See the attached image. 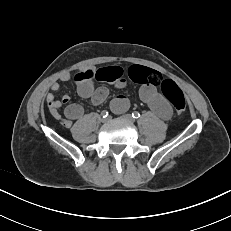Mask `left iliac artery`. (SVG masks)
<instances>
[{
    "label": "left iliac artery",
    "instance_id": "left-iliac-artery-1",
    "mask_svg": "<svg viewBox=\"0 0 231 231\" xmlns=\"http://www.w3.org/2000/svg\"><path fill=\"white\" fill-rule=\"evenodd\" d=\"M132 117L135 118V119H138V118H140V113L137 112V111H134V112L132 113Z\"/></svg>",
    "mask_w": 231,
    "mask_h": 231
}]
</instances>
